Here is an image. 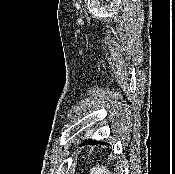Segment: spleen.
<instances>
[{"label": "spleen", "mask_w": 175, "mask_h": 174, "mask_svg": "<svg viewBox=\"0 0 175 174\" xmlns=\"http://www.w3.org/2000/svg\"><path fill=\"white\" fill-rule=\"evenodd\" d=\"M90 174H111L105 166L96 165L90 169Z\"/></svg>", "instance_id": "3e777b00"}]
</instances>
